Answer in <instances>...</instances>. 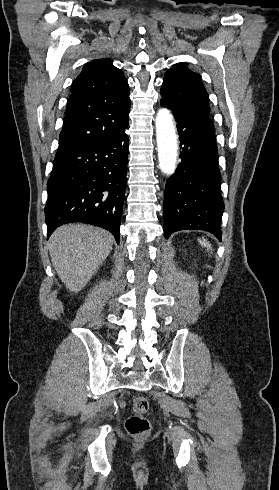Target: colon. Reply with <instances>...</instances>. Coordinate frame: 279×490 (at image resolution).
Masks as SVG:
<instances>
[{"label":"colon","mask_w":279,"mask_h":490,"mask_svg":"<svg viewBox=\"0 0 279 490\" xmlns=\"http://www.w3.org/2000/svg\"><path fill=\"white\" fill-rule=\"evenodd\" d=\"M149 410V401L144 396H136L132 400V413L128 415L125 427L132 436L133 442H148L150 430L149 419L145 414Z\"/></svg>","instance_id":"colon-1"}]
</instances>
